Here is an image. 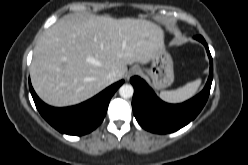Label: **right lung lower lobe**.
<instances>
[{
	"label": "right lung lower lobe",
	"mask_w": 248,
	"mask_h": 165,
	"mask_svg": "<svg viewBox=\"0 0 248 165\" xmlns=\"http://www.w3.org/2000/svg\"><path fill=\"white\" fill-rule=\"evenodd\" d=\"M124 83L121 80L95 97L75 106L54 108L42 102L32 88H29L35 105L42 117L59 132L81 136L93 131L103 121L108 104L115 91Z\"/></svg>",
	"instance_id": "right-lung-lower-lobe-1"
}]
</instances>
